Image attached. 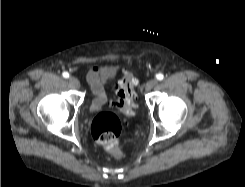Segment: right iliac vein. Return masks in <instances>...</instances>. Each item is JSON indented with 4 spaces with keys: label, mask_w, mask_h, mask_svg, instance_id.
I'll return each instance as SVG.
<instances>
[{
    "label": "right iliac vein",
    "mask_w": 245,
    "mask_h": 187,
    "mask_svg": "<svg viewBox=\"0 0 245 187\" xmlns=\"http://www.w3.org/2000/svg\"><path fill=\"white\" fill-rule=\"evenodd\" d=\"M69 83L71 86H73L74 88H79L80 87V82L77 78L71 76L68 79Z\"/></svg>",
    "instance_id": "obj_1"
}]
</instances>
